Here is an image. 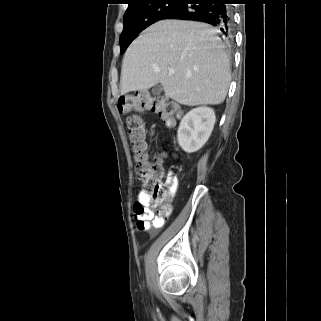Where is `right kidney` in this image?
I'll return each instance as SVG.
<instances>
[{
    "mask_svg": "<svg viewBox=\"0 0 321 321\" xmlns=\"http://www.w3.org/2000/svg\"><path fill=\"white\" fill-rule=\"evenodd\" d=\"M216 121L215 112L209 107H197L181 120L177 140L187 153L198 151L209 139Z\"/></svg>",
    "mask_w": 321,
    "mask_h": 321,
    "instance_id": "1",
    "label": "right kidney"
}]
</instances>
